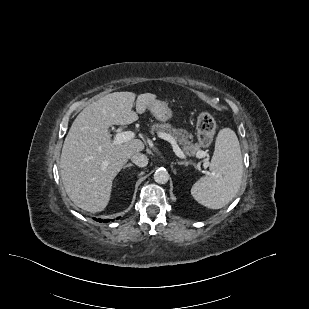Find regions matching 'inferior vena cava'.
<instances>
[{
    "label": "inferior vena cava",
    "instance_id": "inferior-vena-cava-1",
    "mask_svg": "<svg viewBox=\"0 0 309 309\" xmlns=\"http://www.w3.org/2000/svg\"><path fill=\"white\" fill-rule=\"evenodd\" d=\"M130 158H131V161L139 167H145L148 164L147 156L140 152H136L132 154Z\"/></svg>",
    "mask_w": 309,
    "mask_h": 309
}]
</instances>
